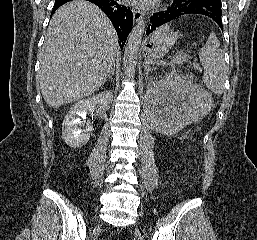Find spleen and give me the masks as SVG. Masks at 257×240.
<instances>
[{
  "mask_svg": "<svg viewBox=\"0 0 257 240\" xmlns=\"http://www.w3.org/2000/svg\"><path fill=\"white\" fill-rule=\"evenodd\" d=\"M160 29L167 30L168 25H164ZM199 59L204 70V84L211 92L222 94L225 90L227 69L224 55L215 33L209 34L207 42L200 49Z\"/></svg>",
  "mask_w": 257,
  "mask_h": 240,
  "instance_id": "spleen-1",
  "label": "spleen"
}]
</instances>
